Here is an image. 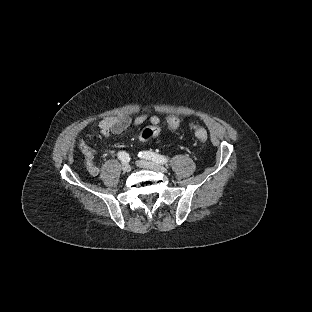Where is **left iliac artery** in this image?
Wrapping results in <instances>:
<instances>
[{"label":"left iliac artery","mask_w":312,"mask_h":312,"mask_svg":"<svg viewBox=\"0 0 312 312\" xmlns=\"http://www.w3.org/2000/svg\"><path fill=\"white\" fill-rule=\"evenodd\" d=\"M138 156L146 160H152L159 164H167L169 162V159L165 156L150 151L139 152Z\"/></svg>","instance_id":"1"}]
</instances>
